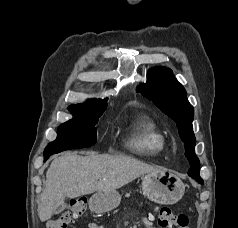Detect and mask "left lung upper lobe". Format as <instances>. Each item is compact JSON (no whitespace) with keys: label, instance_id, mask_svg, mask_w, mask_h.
<instances>
[{"label":"left lung upper lobe","instance_id":"obj_1","mask_svg":"<svg viewBox=\"0 0 238 228\" xmlns=\"http://www.w3.org/2000/svg\"><path fill=\"white\" fill-rule=\"evenodd\" d=\"M137 92L152 100L177 123L179 135L185 144V156L191 166L188 175L200 177L199 159L194 152L196 142L192 126L194 109L186 97L185 89L176 80L172 71L165 67H154L148 73V81L141 84Z\"/></svg>","mask_w":238,"mask_h":228}]
</instances>
